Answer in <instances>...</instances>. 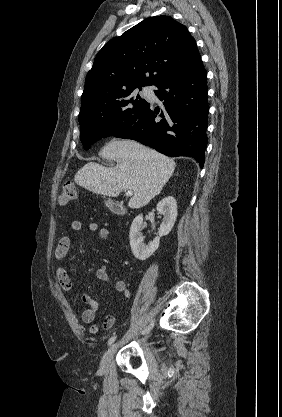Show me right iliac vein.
<instances>
[{"instance_id":"right-iliac-vein-1","label":"right iliac vein","mask_w":282,"mask_h":417,"mask_svg":"<svg viewBox=\"0 0 282 417\" xmlns=\"http://www.w3.org/2000/svg\"><path fill=\"white\" fill-rule=\"evenodd\" d=\"M117 348H118V344L117 343L112 344L108 348V350L104 353V355L102 357V360H101V363H100V371L101 372H106V370L108 369V366H109L111 360L114 357V354L117 351Z\"/></svg>"}]
</instances>
